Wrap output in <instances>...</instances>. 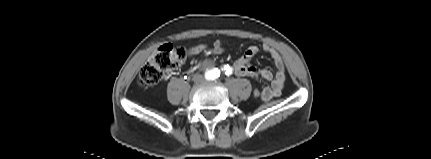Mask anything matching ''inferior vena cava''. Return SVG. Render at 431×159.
Returning <instances> with one entry per match:
<instances>
[{"label": "inferior vena cava", "instance_id": "inferior-vena-cava-1", "mask_svg": "<svg viewBox=\"0 0 431 159\" xmlns=\"http://www.w3.org/2000/svg\"><path fill=\"white\" fill-rule=\"evenodd\" d=\"M194 81H196V82H201V81H203L204 80V78H203V76L202 75H199V74H196L195 76H194Z\"/></svg>", "mask_w": 431, "mask_h": 159}]
</instances>
